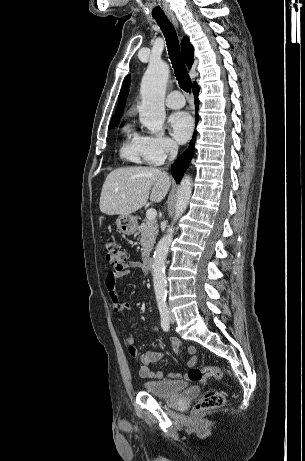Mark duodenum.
<instances>
[{"instance_id": "duodenum-1", "label": "duodenum", "mask_w": 305, "mask_h": 461, "mask_svg": "<svg viewBox=\"0 0 305 461\" xmlns=\"http://www.w3.org/2000/svg\"><path fill=\"white\" fill-rule=\"evenodd\" d=\"M154 263V259L150 255H146L144 258V266L147 270L152 269Z\"/></svg>"}]
</instances>
